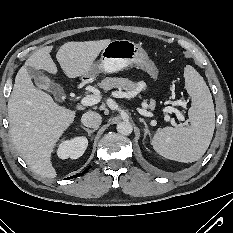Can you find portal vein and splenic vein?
<instances>
[{
  "instance_id": "obj_1",
  "label": "portal vein and splenic vein",
  "mask_w": 233,
  "mask_h": 233,
  "mask_svg": "<svg viewBox=\"0 0 233 233\" xmlns=\"http://www.w3.org/2000/svg\"><path fill=\"white\" fill-rule=\"evenodd\" d=\"M100 101H101V96L100 95H87V96H85V97H83L81 99L80 104L82 106H92V105L98 104ZM173 104L179 105L180 102L177 101V102H174ZM164 112H166V113H172L173 112V113L176 114L178 120H180V121L184 120L183 114L178 109H176V108H174L172 106L165 107ZM140 113L142 115H144V116H151V113L146 111V110H140ZM165 120L169 121L170 117L166 116ZM172 125L177 126V124L175 122H172Z\"/></svg>"
}]
</instances>
